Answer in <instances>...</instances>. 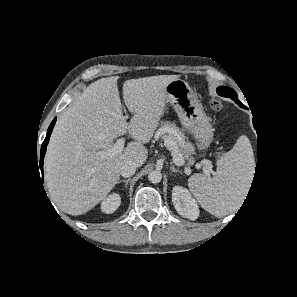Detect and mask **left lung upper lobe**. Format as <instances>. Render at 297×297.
Masks as SVG:
<instances>
[{"instance_id":"5c2ea615","label":"left lung upper lobe","mask_w":297,"mask_h":297,"mask_svg":"<svg viewBox=\"0 0 297 297\" xmlns=\"http://www.w3.org/2000/svg\"><path fill=\"white\" fill-rule=\"evenodd\" d=\"M217 93L218 95L223 97H230L235 102L239 101L236 92L229 87H219L217 88Z\"/></svg>"}]
</instances>
